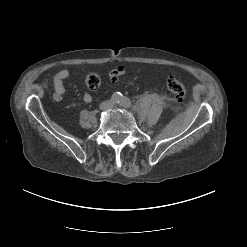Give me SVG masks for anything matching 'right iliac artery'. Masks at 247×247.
I'll return each instance as SVG.
<instances>
[{
    "instance_id": "82829eb1",
    "label": "right iliac artery",
    "mask_w": 247,
    "mask_h": 247,
    "mask_svg": "<svg viewBox=\"0 0 247 247\" xmlns=\"http://www.w3.org/2000/svg\"><path fill=\"white\" fill-rule=\"evenodd\" d=\"M120 99H121V94L118 92L112 96V102L114 103H119Z\"/></svg>"
}]
</instances>
